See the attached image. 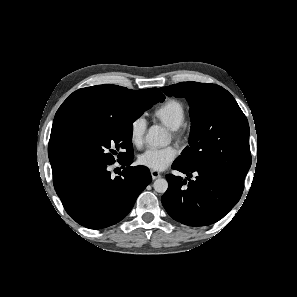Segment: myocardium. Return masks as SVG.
I'll return each instance as SVG.
<instances>
[{
	"instance_id": "myocardium-1",
	"label": "myocardium",
	"mask_w": 297,
	"mask_h": 297,
	"mask_svg": "<svg viewBox=\"0 0 297 297\" xmlns=\"http://www.w3.org/2000/svg\"><path fill=\"white\" fill-rule=\"evenodd\" d=\"M172 137L177 139V140H180L182 139V136H183V131H182V128L179 127L177 129H172Z\"/></svg>"
}]
</instances>
